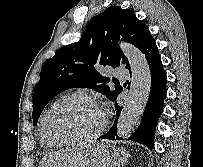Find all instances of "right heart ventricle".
Instances as JSON below:
<instances>
[{
  "mask_svg": "<svg viewBox=\"0 0 203 167\" xmlns=\"http://www.w3.org/2000/svg\"><path fill=\"white\" fill-rule=\"evenodd\" d=\"M60 101V100H59ZM59 101H57L56 103H58ZM55 103V104H56ZM54 104V105H55ZM53 105V106H54ZM39 139H40V142H41V144L43 145V146H45V147H48V148H53V147H57V146H59L58 144H55V143H53V142H50V141H48V140H46L45 138H44V136H43V134H42V132H41V127L39 126Z\"/></svg>",
  "mask_w": 203,
  "mask_h": 167,
  "instance_id": "1",
  "label": "right heart ventricle"
}]
</instances>
